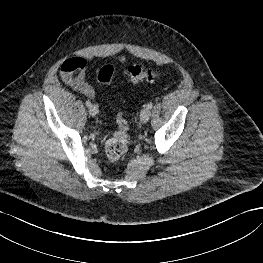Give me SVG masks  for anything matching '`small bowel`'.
<instances>
[{
    "label": "small bowel",
    "mask_w": 263,
    "mask_h": 263,
    "mask_svg": "<svg viewBox=\"0 0 263 263\" xmlns=\"http://www.w3.org/2000/svg\"><path fill=\"white\" fill-rule=\"evenodd\" d=\"M86 61L80 57L65 60L60 68L62 81L75 91L86 97L93 98L94 88L85 79Z\"/></svg>",
    "instance_id": "obj_1"
}]
</instances>
